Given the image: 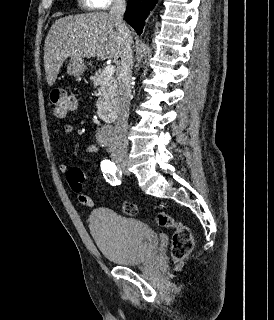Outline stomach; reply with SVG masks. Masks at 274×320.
<instances>
[{
  "label": "stomach",
  "mask_w": 274,
  "mask_h": 320,
  "mask_svg": "<svg viewBox=\"0 0 274 320\" xmlns=\"http://www.w3.org/2000/svg\"><path fill=\"white\" fill-rule=\"evenodd\" d=\"M68 68H70L71 74H76V76H81L86 66L83 60H77V58H70Z\"/></svg>",
  "instance_id": "0dacf381"
}]
</instances>
